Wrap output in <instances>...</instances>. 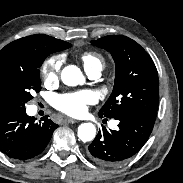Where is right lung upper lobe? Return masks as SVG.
<instances>
[{
	"mask_svg": "<svg viewBox=\"0 0 183 183\" xmlns=\"http://www.w3.org/2000/svg\"><path fill=\"white\" fill-rule=\"evenodd\" d=\"M70 46L65 41L43 34L20 38L6 45L0 51V74L22 68L33 54L43 53L48 56ZM4 110L6 108L0 105V113Z\"/></svg>",
	"mask_w": 183,
	"mask_h": 183,
	"instance_id": "cb5924a9",
	"label": "right lung upper lobe"
}]
</instances>
